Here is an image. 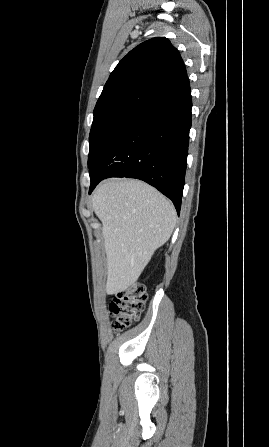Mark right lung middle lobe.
I'll return each instance as SVG.
<instances>
[{"instance_id": "dd1d6c3e", "label": "right lung middle lobe", "mask_w": 269, "mask_h": 447, "mask_svg": "<svg viewBox=\"0 0 269 447\" xmlns=\"http://www.w3.org/2000/svg\"><path fill=\"white\" fill-rule=\"evenodd\" d=\"M140 108L124 106L94 117L89 137V169L123 121Z\"/></svg>"}]
</instances>
